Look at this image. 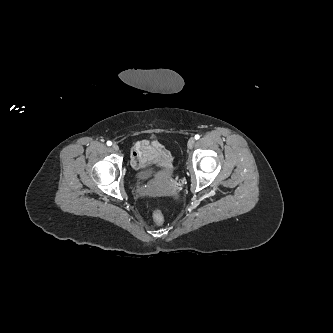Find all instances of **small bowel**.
<instances>
[{
  "label": "small bowel",
  "mask_w": 333,
  "mask_h": 333,
  "mask_svg": "<svg viewBox=\"0 0 333 333\" xmlns=\"http://www.w3.org/2000/svg\"><path fill=\"white\" fill-rule=\"evenodd\" d=\"M129 159L134 169H142L151 165H168L171 155L158 141L140 140L130 148Z\"/></svg>",
  "instance_id": "small-bowel-1"
}]
</instances>
